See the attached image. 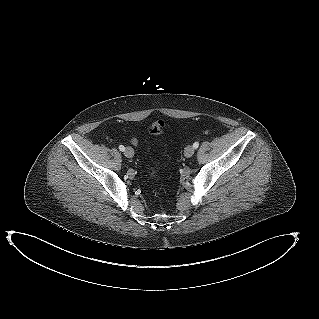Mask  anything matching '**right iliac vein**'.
Listing matches in <instances>:
<instances>
[{
  "mask_svg": "<svg viewBox=\"0 0 319 319\" xmlns=\"http://www.w3.org/2000/svg\"><path fill=\"white\" fill-rule=\"evenodd\" d=\"M124 154L127 158H132L134 156V150L131 147H127Z\"/></svg>",
  "mask_w": 319,
  "mask_h": 319,
  "instance_id": "obj_1",
  "label": "right iliac vein"
}]
</instances>
